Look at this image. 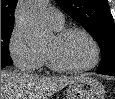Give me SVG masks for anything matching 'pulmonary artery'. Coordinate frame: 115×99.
I'll return each mask as SVG.
<instances>
[{
	"mask_svg": "<svg viewBox=\"0 0 115 99\" xmlns=\"http://www.w3.org/2000/svg\"><path fill=\"white\" fill-rule=\"evenodd\" d=\"M44 19L48 25L54 29H61L64 24V16L56 8L49 7L45 10Z\"/></svg>",
	"mask_w": 115,
	"mask_h": 99,
	"instance_id": "e3ab8cb5",
	"label": "pulmonary artery"
}]
</instances>
